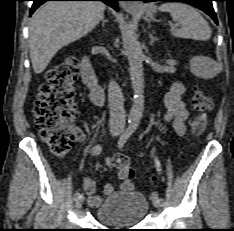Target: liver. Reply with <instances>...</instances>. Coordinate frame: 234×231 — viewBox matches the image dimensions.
<instances>
[{"instance_id":"obj_1","label":"liver","mask_w":234,"mask_h":231,"mask_svg":"<svg viewBox=\"0 0 234 231\" xmlns=\"http://www.w3.org/2000/svg\"><path fill=\"white\" fill-rule=\"evenodd\" d=\"M104 11L105 4L99 1H51L35 11L29 27L34 72L42 73L60 49L92 31Z\"/></svg>"}]
</instances>
